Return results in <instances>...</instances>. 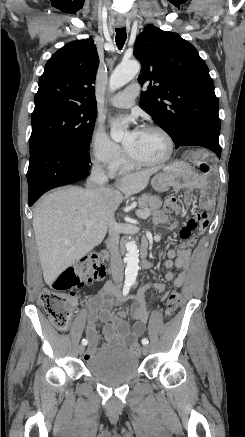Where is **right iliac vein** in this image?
Masks as SVG:
<instances>
[{"instance_id": "right-iliac-vein-1", "label": "right iliac vein", "mask_w": 245, "mask_h": 437, "mask_svg": "<svg viewBox=\"0 0 245 437\" xmlns=\"http://www.w3.org/2000/svg\"><path fill=\"white\" fill-rule=\"evenodd\" d=\"M84 350H85L84 345H80V346L78 347V353H79V354H83V353H84Z\"/></svg>"}]
</instances>
